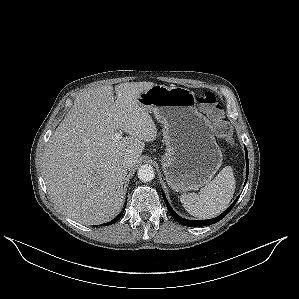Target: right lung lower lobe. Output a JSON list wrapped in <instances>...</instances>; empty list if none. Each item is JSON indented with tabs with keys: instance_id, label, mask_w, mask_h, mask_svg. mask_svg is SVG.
Masks as SVG:
<instances>
[{
	"instance_id": "obj_1",
	"label": "right lung lower lobe",
	"mask_w": 299,
	"mask_h": 299,
	"mask_svg": "<svg viewBox=\"0 0 299 299\" xmlns=\"http://www.w3.org/2000/svg\"><path fill=\"white\" fill-rule=\"evenodd\" d=\"M122 214L123 213H120L115 219H113L112 221H110V222H108L106 224H102V225L104 226V225H111V224L116 223L120 219V217L122 216Z\"/></svg>"
}]
</instances>
